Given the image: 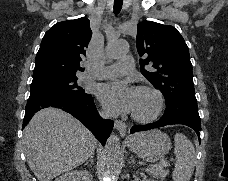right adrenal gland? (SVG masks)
<instances>
[{
  "instance_id": "obj_1",
  "label": "right adrenal gland",
  "mask_w": 228,
  "mask_h": 181,
  "mask_svg": "<svg viewBox=\"0 0 228 181\" xmlns=\"http://www.w3.org/2000/svg\"><path fill=\"white\" fill-rule=\"evenodd\" d=\"M88 163H91V165L93 167V165H94L93 155H91V157H89L88 161H86V163H84V165H88Z\"/></svg>"
}]
</instances>
